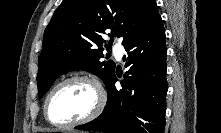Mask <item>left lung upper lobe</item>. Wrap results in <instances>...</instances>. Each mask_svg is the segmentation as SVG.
I'll return each instance as SVG.
<instances>
[{
    "mask_svg": "<svg viewBox=\"0 0 221 133\" xmlns=\"http://www.w3.org/2000/svg\"><path fill=\"white\" fill-rule=\"evenodd\" d=\"M160 17L155 0H63L55 10L43 38L38 59L39 96L56 78L69 71L86 70L105 85L114 74L112 61L100 62L113 37L124 45ZM109 32V45L102 34Z\"/></svg>",
    "mask_w": 221,
    "mask_h": 133,
    "instance_id": "5c2ea615",
    "label": "left lung upper lobe"
}]
</instances>
